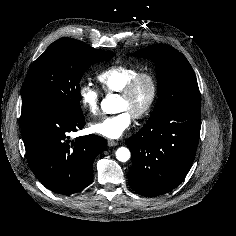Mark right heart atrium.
Listing matches in <instances>:
<instances>
[{"mask_svg":"<svg viewBox=\"0 0 236 236\" xmlns=\"http://www.w3.org/2000/svg\"><path fill=\"white\" fill-rule=\"evenodd\" d=\"M79 98L81 105L89 112V114H99L100 94L94 86L90 84L81 85L79 88Z\"/></svg>","mask_w":236,"mask_h":236,"instance_id":"right-heart-atrium-1","label":"right heart atrium"}]
</instances>
